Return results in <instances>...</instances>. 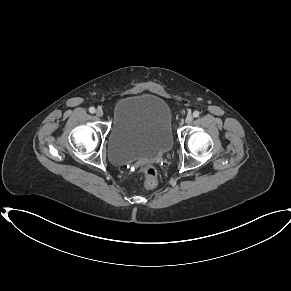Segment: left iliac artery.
Wrapping results in <instances>:
<instances>
[{"instance_id":"obj_1","label":"left iliac artery","mask_w":291,"mask_h":291,"mask_svg":"<svg viewBox=\"0 0 291 291\" xmlns=\"http://www.w3.org/2000/svg\"><path fill=\"white\" fill-rule=\"evenodd\" d=\"M199 114H200L199 111H194L193 116H194V117H198Z\"/></svg>"}]
</instances>
